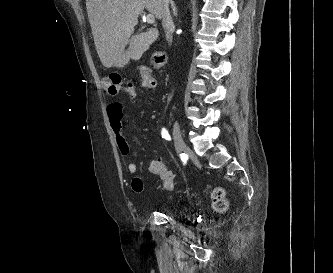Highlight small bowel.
<instances>
[{
  "label": "small bowel",
  "instance_id": "obj_1",
  "mask_svg": "<svg viewBox=\"0 0 333 273\" xmlns=\"http://www.w3.org/2000/svg\"><path fill=\"white\" fill-rule=\"evenodd\" d=\"M139 76L142 77V89L143 91H156L157 86L153 76V71L149 63H144L139 71ZM122 109L123 106L119 102H114L108 106L107 114L112 131L115 134L116 144L122 156L127 157L130 153L129 144L123 134L122 124ZM127 171L131 175H135L137 172V166L134 162H128ZM157 176V175H156ZM132 190L136 193L144 191V184L140 177L135 176L131 182ZM167 189V188H166Z\"/></svg>",
  "mask_w": 333,
  "mask_h": 273
}]
</instances>
